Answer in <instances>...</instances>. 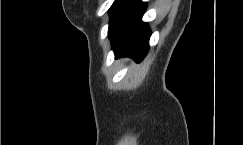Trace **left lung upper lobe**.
Returning <instances> with one entry per match:
<instances>
[{"label":"left lung upper lobe","instance_id":"left-lung-upper-lobe-1","mask_svg":"<svg viewBox=\"0 0 243 145\" xmlns=\"http://www.w3.org/2000/svg\"><path fill=\"white\" fill-rule=\"evenodd\" d=\"M130 2V0H115L111 8L109 9L110 13V23L109 28L111 27L112 23L122 11V9Z\"/></svg>","mask_w":243,"mask_h":145}]
</instances>
